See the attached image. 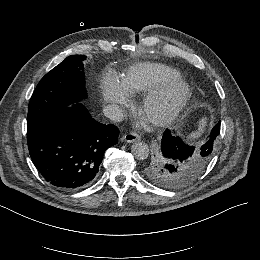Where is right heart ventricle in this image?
Returning <instances> with one entry per match:
<instances>
[{
  "label": "right heart ventricle",
  "instance_id": "right-heart-ventricle-1",
  "mask_svg": "<svg viewBox=\"0 0 260 260\" xmlns=\"http://www.w3.org/2000/svg\"><path fill=\"white\" fill-rule=\"evenodd\" d=\"M136 74L133 88L138 93L151 94L163 84L182 78L176 69L159 63H144L133 69Z\"/></svg>",
  "mask_w": 260,
  "mask_h": 260
}]
</instances>
